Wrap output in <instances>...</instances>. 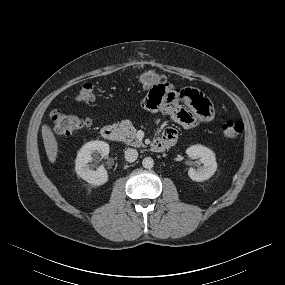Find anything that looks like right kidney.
<instances>
[{"label":"right kidney","mask_w":285,"mask_h":285,"mask_svg":"<svg viewBox=\"0 0 285 285\" xmlns=\"http://www.w3.org/2000/svg\"><path fill=\"white\" fill-rule=\"evenodd\" d=\"M100 154L105 157L109 154V145L104 141H90L84 144L79 150L75 160V170L79 177L86 182L100 186L108 181V173L104 166L92 170L88 163Z\"/></svg>","instance_id":"right-kidney-1"}]
</instances>
